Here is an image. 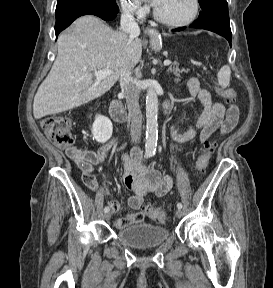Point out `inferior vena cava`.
<instances>
[{
	"label": "inferior vena cava",
	"instance_id": "1",
	"mask_svg": "<svg viewBox=\"0 0 273 288\" xmlns=\"http://www.w3.org/2000/svg\"><path fill=\"white\" fill-rule=\"evenodd\" d=\"M132 9L125 10L121 15L120 26L121 30L127 33L130 37L136 38L140 34V28L135 22ZM133 70H126L120 76V86L122 93L125 96L128 112L131 118L130 135L132 142H139L142 133V113L139 107L138 81L133 76Z\"/></svg>",
	"mask_w": 273,
	"mask_h": 288
}]
</instances>
